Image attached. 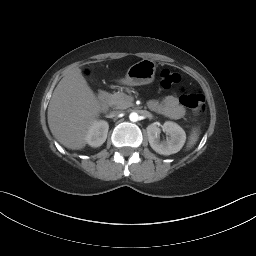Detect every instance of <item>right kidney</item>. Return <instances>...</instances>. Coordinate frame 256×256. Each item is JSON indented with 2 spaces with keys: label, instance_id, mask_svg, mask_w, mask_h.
<instances>
[{
  "label": "right kidney",
  "instance_id": "ca27d5eb",
  "mask_svg": "<svg viewBox=\"0 0 256 256\" xmlns=\"http://www.w3.org/2000/svg\"><path fill=\"white\" fill-rule=\"evenodd\" d=\"M108 129L109 125L106 121H94L86 136L87 143L92 147L101 146L106 141Z\"/></svg>",
  "mask_w": 256,
  "mask_h": 256
}]
</instances>
